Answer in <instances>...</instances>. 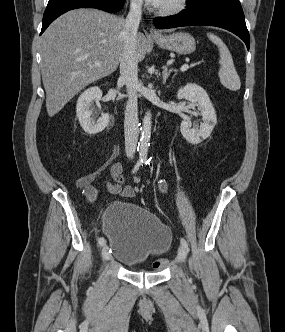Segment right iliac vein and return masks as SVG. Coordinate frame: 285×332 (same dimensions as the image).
<instances>
[{
  "label": "right iliac vein",
  "mask_w": 285,
  "mask_h": 332,
  "mask_svg": "<svg viewBox=\"0 0 285 332\" xmlns=\"http://www.w3.org/2000/svg\"><path fill=\"white\" fill-rule=\"evenodd\" d=\"M110 254H109V250H108V246L104 245L102 248V258L104 261H108L110 259Z\"/></svg>",
  "instance_id": "1"
}]
</instances>
